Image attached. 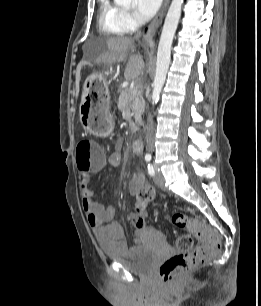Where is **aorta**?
Segmentation results:
<instances>
[{
    "mask_svg": "<svg viewBox=\"0 0 261 306\" xmlns=\"http://www.w3.org/2000/svg\"><path fill=\"white\" fill-rule=\"evenodd\" d=\"M117 5L128 7L132 0H114ZM184 0H172L167 12L157 50L156 72L152 91V104L159 100L160 93L165 83L166 75L171 60V46L181 16Z\"/></svg>",
    "mask_w": 261,
    "mask_h": 306,
    "instance_id": "obj_1",
    "label": "aorta"
}]
</instances>
